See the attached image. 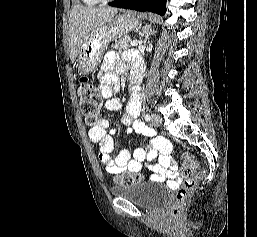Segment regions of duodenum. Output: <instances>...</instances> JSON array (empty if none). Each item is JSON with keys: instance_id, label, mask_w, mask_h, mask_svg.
Returning <instances> with one entry per match:
<instances>
[{"instance_id": "1", "label": "duodenum", "mask_w": 257, "mask_h": 237, "mask_svg": "<svg viewBox=\"0 0 257 237\" xmlns=\"http://www.w3.org/2000/svg\"><path fill=\"white\" fill-rule=\"evenodd\" d=\"M140 79V74L138 72H134L132 75V80H131V89H133V87L136 85V83L138 82V80ZM133 93V91H132Z\"/></svg>"}]
</instances>
